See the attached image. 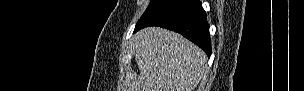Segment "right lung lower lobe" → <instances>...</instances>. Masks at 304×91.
<instances>
[{
  "mask_svg": "<svg viewBox=\"0 0 304 91\" xmlns=\"http://www.w3.org/2000/svg\"><path fill=\"white\" fill-rule=\"evenodd\" d=\"M159 26L182 34L210 57L211 39L206 13L198 0H154L137 22L134 32Z\"/></svg>",
  "mask_w": 304,
  "mask_h": 91,
  "instance_id": "98d812e1",
  "label": "right lung lower lobe"
}]
</instances>
